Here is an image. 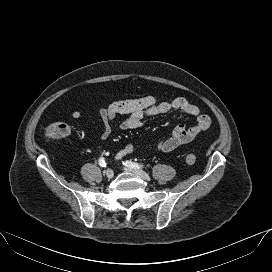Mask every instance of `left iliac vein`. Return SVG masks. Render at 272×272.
<instances>
[{
  "label": "left iliac vein",
  "mask_w": 272,
  "mask_h": 272,
  "mask_svg": "<svg viewBox=\"0 0 272 272\" xmlns=\"http://www.w3.org/2000/svg\"><path fill=\"white\" fill-rule=\"evenodd\" d=\"M124 170L128 171V172H131V173H134V174L138 175L140 178H142L144 180H149L150 179V176L146 172H144L142 170L129 168V167L124 168Z\"/></svg>",
  "instance_id": "1"
}]
</instances>
